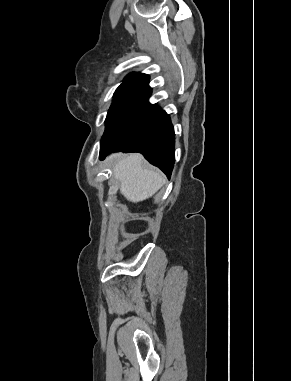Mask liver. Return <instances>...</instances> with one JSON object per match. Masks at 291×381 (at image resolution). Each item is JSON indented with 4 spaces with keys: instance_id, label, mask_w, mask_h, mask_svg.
Segmentation results:
<instances>
[{
    "instance_id": "6515ba94",
    "label": "liver",
    "mask_w": 291,
    "mask_h": 381,
    "mask_svg": "<svg viewBox=\"0 0 291 381\" xmlns=\"http://www.w3.org/2000/svg\"><path fill=\"white\" fill-rule=\"evenodd\" d=\"M114 176L120 182L121 194L131 202L148 199L165 184L163 175L144 167V158L138 153L119 157Z\"/></svg>"
}]
</instances>
